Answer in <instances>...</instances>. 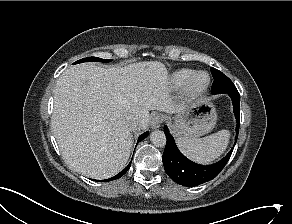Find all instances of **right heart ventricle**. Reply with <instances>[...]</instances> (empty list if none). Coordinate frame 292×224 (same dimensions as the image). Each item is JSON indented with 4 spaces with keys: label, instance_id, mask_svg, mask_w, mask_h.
<instances>
[{
    "label": "right heart ventricle",
    "instance_id": "obj_1",
    "mask_svg": "<svg viewBox=\"0 0 292 224\" xmlns=\"http://www.w3.org/2000/svg\"><path fill=\"white\" fill-rule=\"evenodd\" d=\"M195 73L196 71L193 69H179L171 74L169 82L172 87L181 88Z\"/></svg>",
    "mask_w": 292,
    "mask_h": 224
}]
</instances>
